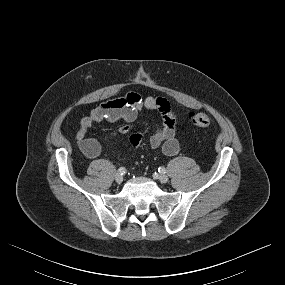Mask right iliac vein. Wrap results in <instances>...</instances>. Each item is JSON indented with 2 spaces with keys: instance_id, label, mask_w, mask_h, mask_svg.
Instances as JSON below:
<instances>
[{
  "instance_id": "right-iliac-vein-1",
  "label": "right iliac vein",
  "mask_w": 285,
  "mask_h": 285,
  "mask_svg": "<svg viewBox=\"0 0 285 285\" xmlns=\"http://www.w3.org/2000/svg\"><path fill=\"white\" fill-rule=\"evenodd\" d=\"M115 181H116L118 184L122 183V181H123V175H121L120 173H117V174L115 175Z\"/></svg>"
}]
</instances>
